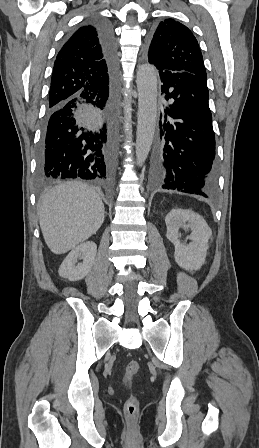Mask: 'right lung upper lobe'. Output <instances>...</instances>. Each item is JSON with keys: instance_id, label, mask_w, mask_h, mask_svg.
<instances>
[{"instance_id": "cb5924a9", "label": "right lung upper lobe", "mask_w": 259, "mask_h": 448, "mask_svg": "<svg viewBox=\"0 0 259 448\" xmlns=\"http://www.w3.org/2000/svg\"><path fill=\"white\" fill-rule=\"evenodd\" d=\"M109 83L108 64L96 28H78L56 56L48 106L85 92H97Z\"/></svg>"}]
</instances>
